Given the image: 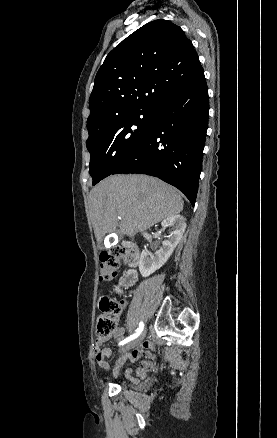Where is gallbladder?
<instances>
[{
	"mask_svg": "<svg viewBox=\"0 0 277 438\" xmlns=\"http://www.w3.org/2000/svg\"><path fill=\"white\" fill-rule=\"evenodd\" d=\"M99 248H103L102 244H99Z\"/></svg>",
	"mask_w": 277,
	"mask_h": 438,
	"instance_id": "1",
	"label": "gallbladder"
}]
</instances>
